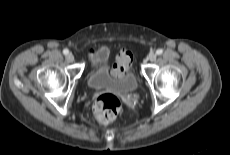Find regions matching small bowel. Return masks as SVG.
<instances>
[{
	"label": "small bowel",
	"mask_w": 230,
	"mask_h": 155,
	"mask_svg": "<svg viewBox=\"0 0 230 155\" xmlns=\"http://www.w3.org/2000/svg\"><path fill=\"white\" fill-rule=\"evenodd\" d=\"M109 56V51L106 47H101L99 49L91 50L90 52V63L93 69L98 68L99 66L103 65ZM125 52L122 51L116 60L115 65L112 67V74L114 76L123 75L128 71L130 66V60H125Z\"/></svg>",
	"instance_id": "c3829d8e"
}]
</instances>
